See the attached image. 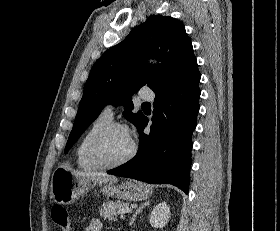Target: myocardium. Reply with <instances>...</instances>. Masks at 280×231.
Here are the masks:
<instances>
[{
    "label": "myocardium",
    "instance_id": "f54148a6",
    "mask_svg": "<svg viewBox=\"0 0 280 231\" xmlns=\"http://www.w3.org/2000/svg\"><path fill=\"white\" fill-rule=\"evenodd\" d=\"M121 129L127 131V127L118 122H109L104 127H102L90 140L87 147V157L89 161L100 169H110L115 167H120L128 163L135 155V145L130 142V148L128 152L119 160L114 162H105L98 158L97 147L100 141L112 130Z\"/></svg>",
    "mask_w": 280,
    "mask_h": 231
}]
</instances>
